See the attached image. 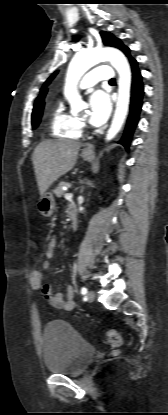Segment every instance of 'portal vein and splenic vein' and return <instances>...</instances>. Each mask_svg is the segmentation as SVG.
<instances>
[{"mask_svg":"<svg viewBox=\"0 0 168 415\" xmlns=\"http://www.w3.org/2000/svg\"><path fill=\"white\" fill-rule=\"evenodd\" d=\"M64 196H65L66 199H71L73 197V194L72 193H66Z\"/></svg>","mask_w":168,"mask_h":415,"instance_id":"obj_1","label":"portal vein and splenic vein"}]
</instances>
